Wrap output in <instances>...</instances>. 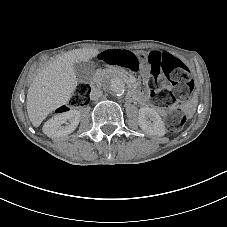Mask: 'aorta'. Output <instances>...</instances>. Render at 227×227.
<instances>
[{
    "instance_id": "762f6f07",
    "label": "aorta",
    "mask_w": 227,
    "mask_h": 227,
    "mask_svg": "<svg viewBox=\"0 0 227 227\" xmlns=\"http://www.w3.org/2000/svg\"><path fill=\"white\" fill-rule=\"evenodd\" d=\"M107 87L113 94H123L125 91V83L120 77H112L109 79Z\"/></svg>"
}]
</instances>
